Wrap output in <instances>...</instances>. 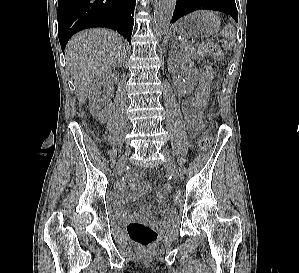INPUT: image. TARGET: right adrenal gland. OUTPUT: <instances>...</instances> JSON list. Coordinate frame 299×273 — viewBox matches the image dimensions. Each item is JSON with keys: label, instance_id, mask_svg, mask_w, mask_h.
<instances>
[{"label": "right adrenal gland", "instance_id": "2a0ac1e0", "mask_svg": "<svg viewBox=\"0 0 299 273\" xmlns=\"http://www.w3.org/2000/svg\"><path fill=\"white\" fill-rule=\"evenodd\" d=\"M126 54H124V59H125ZM124 59L121 60L120 65H122V63H124Z\"/></svg>", "mask_w": 299, "mask_h": 273}]
</instances>
